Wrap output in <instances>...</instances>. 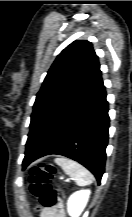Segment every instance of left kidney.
<instances>
[{"label": "left kidney", "instance_id": "1", "mask_svg": "<svg viewBox=\"0 0 132 217\" xmlns=\"http://www.w3.org/2000/svg\"><path fill=\"white\" fill-rule=\"evenodd\" d=\"M90 190L74 192L68 199L67 211L71 217H79L87 205Z\"/></svg>", "mask_w": 132, "mask_h": 217}]
</instances>
